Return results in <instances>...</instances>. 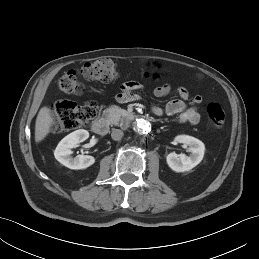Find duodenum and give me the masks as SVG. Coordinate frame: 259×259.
Segmentation results:
<instances>
[{
    "label": "duodenum",
    "mask_w": 259,
    "mask_h": 259,
    "mask_svg": "<svg viewBox=\"0 0 259 259\" xmlns=\"http://www.w3.org/2000/svg\"><path fill=\"white\" fill-rule=\"evenodd\" d=\"M127 117L130 120L136 119V115L134 113H127ZM108 129H109V124L107 120L103 117L97 118L92 123V130L97 135H105L108 132Z\"/></svg>",
    "instance_id": "1"
}]
</instances>
